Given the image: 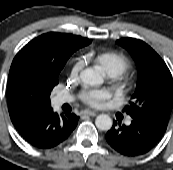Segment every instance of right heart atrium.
Masks as SVG:
<instances>
[{"label":"right heart atrium","instance_id":"1","mask_svg":"<svg viewBox=\"0 0 173 170\" xmlns=\"http://www.w3.org/2000/svg\"><path fill=\"white\" fill-rule=\"evenodd\" d=\"M79 68V65L77 64L75 67H74V71H77Z\"/></svg>","mask_w":173,"mask_h":170}]
</instances>
